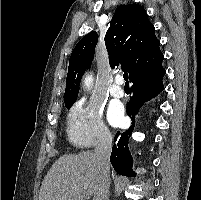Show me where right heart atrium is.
Returning <instances> with one entry per match:
<instances>
[{"label": "right heart atrium", "instance_id": "obj_1", "mask_svg": "<svg viewBox=\"0 0 201 200\" xmlns=\"http://www.w3.org/2000/svg\"><path fill=\"white\" fill-rule=\"evenodd\" d=\"M67 135L80 147L105 146L112 140L100 106L84 99L77 101L69 111Z\"/></svg>", "mask_w": 201, "mask_h": 200}]
</instances>
